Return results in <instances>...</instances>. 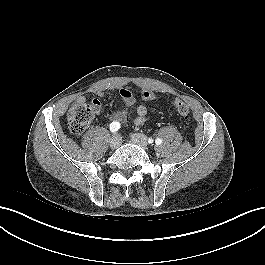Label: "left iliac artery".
Instances as JSON below:
<instances>
[{
  "label": "left iliac artery",
  "mask_w": 265,
  "mask_h": 265,
  "mask_svg": "<svg viewBox=\"0 0 265 265\" xmlns=\"http://www.w3.org/2000/svg\"><path fill=\"white\" fill-rule=\"evenodd\" d=\"M149 143H151L150 139H149ZM155 143H156V145H160L162 143V140L160 138H157Z\"/></svg>",
  "instance_id": "left-iliac-artery-1"
}]
</instances>
